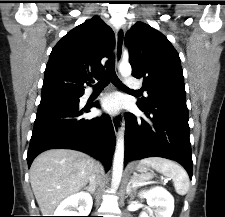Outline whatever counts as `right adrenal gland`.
<instances>
[{
    "instance_id": "2a0ac1e0",
    "label": "right adrenal gland",
    "mask_w": 225,
    "mask_h": 217,
    "mask_svg": "<svg viewBox=\"0 0 225 217\" xmlns=\"http://www.w3.org/2000/svg\"><path fill=\"white\" fill-rule=\"evenodd\" d=\"M84 189L87 190L88 192L94 193L95 186L94 185H92V186H85Z\"/></svg>"
}]
</instances>
